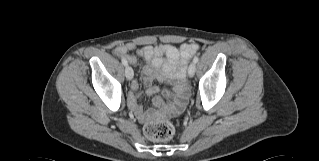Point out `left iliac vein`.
Wrapping results in <instances>:
<instances>
[{"instance_id":"obj_1","label":"left iliac vein","mask_w":319,"mask_h":161,"mask_svg":"<svg viewBox=\"0 0 319 161\" xmlns=\"http://www.w3.org/2000/svg\"><path fill=\"white\" fill-rule=\"evenodd\" d=\"M196 71V64L195 63H191L188 67V75L189 77H193Z\"/></svg>"}]
</instances>
